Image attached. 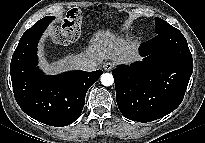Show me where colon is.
<instances>
[{
	"mask_svg": "<svg viewBox=\"0 0 205 143\" xmlns=\"http://www.w3.org/2000/svg\"><path fill=\"white\" fill-rule=\"evenodd\" d=\"M82 15L78 9H71L67 12L63 23L55 26L52 31V38L58 44L74 43L80 34Z\"/></svg>",
	"mask_w": 205,
	"mask_h": 143,
	"instance_id": "colon-1",
	"label": "colon"
}]
</instances>
